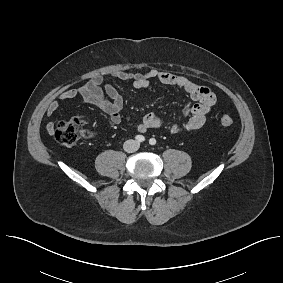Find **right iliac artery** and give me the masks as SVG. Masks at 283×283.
Segmentation results:
<instances>
[{
	"label": "right iliac artery",
	"instance_id": "82829eb1",
	"mask_svg": "<svg viewBox=\"0 0 283 283\" xmlns=\"http://www.w3.org/2000/svg\"><path fill=\"white\" fill-rule=\"evenodd\" d=\"M135 139L138 142H144L145 141V137L143 135H136Z\"/></svg>",
	"mask_w": 283,
	"mask_h": 283
}]
</instances>
